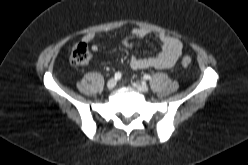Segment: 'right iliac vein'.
<instances>
[{"instance_id": "right-iliac-vein-1", "label": "right iliac vein", "mask_w": 248, "mask_h": 165, "mask_svg": "<svg viewBox=\"0 0 248 165\" xmlns=\"http://www.w3.org/2000/svg\"><path fill=\"white\" fill-rule=\"evenodd\" d=\"M116 86V80L115 79H110L107 82V88L108 89H113Z\"/></svg>"}]
</instances>
